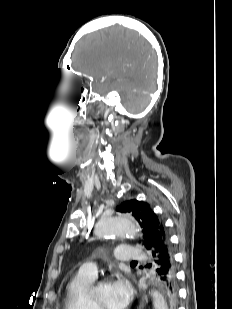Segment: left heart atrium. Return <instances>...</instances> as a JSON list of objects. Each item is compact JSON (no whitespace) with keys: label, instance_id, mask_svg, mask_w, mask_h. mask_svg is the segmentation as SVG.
<instances>
[{"label":"left heart atrium","instance_id":"1","mask_svg":"<svg viewBox=\"0 0 232 309\" xmlns=\"http://www.w3.org/2000/svg\"><path fill=\"white\" fill-rule=\"evenodd\" d=\"M113 288L115 292L116 302L119 304L121 309L126 308L131 296L130 286L127 283L118 280L113 283Z\"/></svg>","mask_w":232,"mask_h":309}]
</instances>
